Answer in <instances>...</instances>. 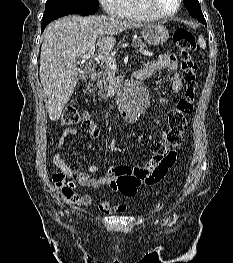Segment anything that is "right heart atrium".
<instances>
[{
	"label": "right heart atrium",
	"instance_id": "obj_1",
	"mask_svg": "<svg viewBox=\"0 0 233 263\" xmlns=\"http://www.w3.org/2000/svg\"><path fill=\"white\" fill-rule=\"evenodd\" d=\"M104 10L110 14H114L119 0H99Z\"/></svg>",
	"mask_w": 233,
	"mask_h": 263
}]
</instances>
